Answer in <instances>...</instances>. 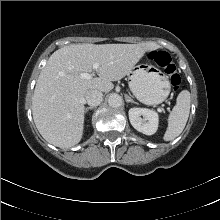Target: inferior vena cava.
Segmentation results:
<instances>
[{
	"instance_id": "602c4592",
	"label": "inferior vena cava",
	"mask_w": 220,
	"mask_h": 220,
	"mask_svg": "<svg viewBox=\"0 0 220 220\" xmlns=\"http://www.w3.org/2000/svg\"><path fill=\"white\" fill-rule=\"evenodd\" d=\"M103 101V94L98 90H88L85 94V103L89 106H98Z\"/></svg>"
}]
</instances>
